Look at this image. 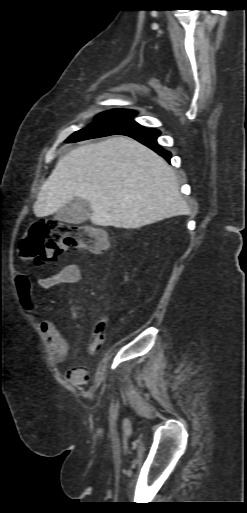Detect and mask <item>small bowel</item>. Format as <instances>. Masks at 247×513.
Instances as JSON below:
<instances>
[{"mask_svg": "<svg viewBox=\"0 0 247 513\" xmlns=\"http://www.w3.org/2000/svg\"><path fill=\"white\" fill-rule=\"evenodd\" d=\"M81 276L79 265H66L54 274L42 279L38 284V287L46 289L60 283L74 284L81 280ZM16 286L18 296L23 306L31 316L38 319L39 327L49 345L52 360L56 363L64 362L69 355V343L53 321L46 318H38L39 312L33 301L32 284L29 276L26 273L18 274L16 278ZM85 377L86 374H84V368L81 367L73 368L67 372V379L76 385H82Z\"/></svg>", "mask_w": 247, "mask_h": 513, "instance_id": "small-bowel-1", "label": "small bowel"}]
</instances>
